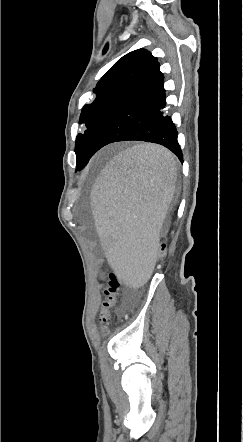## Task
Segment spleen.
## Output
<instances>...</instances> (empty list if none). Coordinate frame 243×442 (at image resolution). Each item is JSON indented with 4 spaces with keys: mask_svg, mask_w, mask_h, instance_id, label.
I'll use <instances>...</instances> for the list:
<instances>
[{
    "mask_svg": "<svg viewBox=\"0 0 243 442\" xmlns=\"http://www.w3.org/2000/svg\"><path fill=\"white\" fill-rule=\"evenodd\" d=\"M176 163L169 151L153 144H140L119 153L106 172L96 179L92 193L93 212L90 226H98L104 242V258L118 268L123 286L135 291L144 286L159 251L161 219L171 207V183Z\"/></svg>",
    "mask_w": 243,
    "mask_h": 442,
    "instance_id": "spleen-1",
    "label": "spleen"
}]
</instances>
